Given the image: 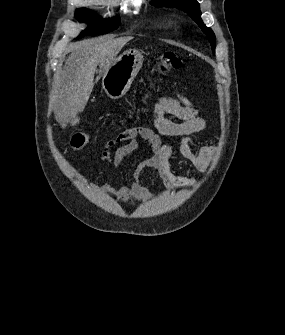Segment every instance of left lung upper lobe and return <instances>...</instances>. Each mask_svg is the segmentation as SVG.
I'll return each mask as SVG.
<instances>
[{
  "mask_svg": "<svg viewBox=\"0 0 285 335\" xmlns=\"http://www.w3.org/2000/svg\"><path fill=\"white\" fill-rule=\"evenodd\" d=\"M151 4L156 6L177 7L184 10L199 25L202 31L207 35L211 43L212 50H215V35L213 31L206 27L201 19L199 3L196 0H152Z\"/></svg>",
  "mask_w": 285,
  "mask_h": 335,
  "instance_id": "obj_1",
  "label": "left lung upper lobe"
}]
</instances>
